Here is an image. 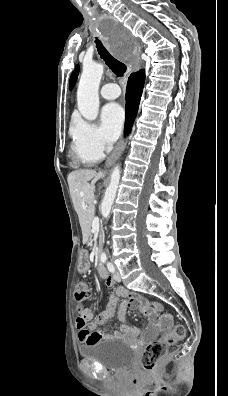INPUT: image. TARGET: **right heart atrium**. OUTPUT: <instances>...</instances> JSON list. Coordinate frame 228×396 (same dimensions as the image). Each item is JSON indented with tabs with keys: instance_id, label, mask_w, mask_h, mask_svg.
Here are the masks:
<instances>
[{
	"instance_id": "right-heart-atrium-1",
	"label": "right heart atrium",
	"mask_w": 228,
	"mask_h": 396,
	"mask_svg": "<svg viewBox=\"0 0 228 396\" xmlns=\"http://www.w3.org/2000/svg\"><path fill=\"white\" fill-rule=\"evenodd\" d=\"M74 146L79 156L94 160L101 159L109 150L110 144L100 128L85 120H77L73 128Z\"/></svg>"
}]
</instances>
